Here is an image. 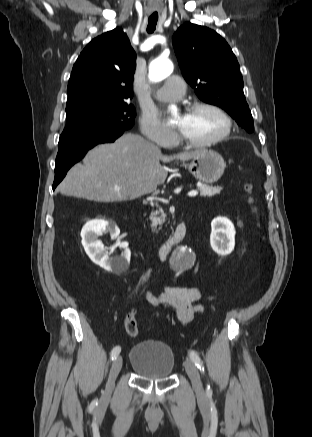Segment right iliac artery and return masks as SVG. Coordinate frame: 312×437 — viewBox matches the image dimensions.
I'll return each instance as SVG.
<instances>
[{
  "label": "right iliac artery",
  "mask_w": 312,
  "mask_h": 437,
  "mask_svg": "<svg viewBox=\"0 0 312 437\" xmlns=\"http://www.w3.org/2000/svg\"><path fill=\"white\" fill-rule=\"evenodd\" d=\"M120 351L121 348L119 346L114 347L111 351V360H115L119 355Z\"/></svg>",
  "instance_id": "1"
}]
</instances>
